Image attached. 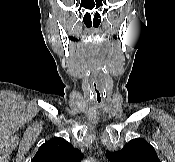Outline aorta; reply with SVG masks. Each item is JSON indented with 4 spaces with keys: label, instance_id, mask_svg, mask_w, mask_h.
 <instances>
[{
    "label": "aorta",
    "instance_id": "aorta-1",
    "mask_svg": "<svg viewBox=\"0 0 175 162\" xmlns=\"http://www.w3.org/2000/svg\"><path fill=\"white\" fill-rule=\"evenodd\" d=\"M84 162H91V160H85Z\"/></svg>",
    "mask_w": 175,
    "mask_h": 162
}]
</instances>
